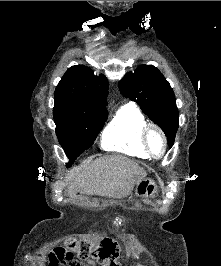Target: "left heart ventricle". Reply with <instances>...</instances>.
Masks as SVG:
<instances>
[{
	"mask_svg": "<svg viewBox=\"0 0 221 266\" xmlns=\"http://www.w3.org/2000/svg\"><path fill=\"white\" fill-rule=\"evenodd\" d=\"M150 145H151V148L152 150L156 153V154H159L161 152V148H162V143H161V140L160 138L153 134L151 136V139H150Z\"/></svg>",
	"mask_w": 221,
	"mask_h": 266,
	"instance_id": "left-heart-ventricle-1",
	"label": "left heart ventricle"
}]
</instances>
